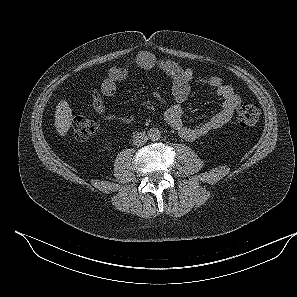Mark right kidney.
Listing matches in <instances>:
<instances>
[{
	"mask_svg": "<svg viewBox=\"0 0 297 297\" xmlns=\"http://www.w3.org/2000/svg\"><path fill=\"white\" fill-rule=\"evenodd\" d=\"M111 145H112V143L108 142V144L105 145L104 149H105V150H109V149H111V148H110Z\"/></svg>",
	"mask_w": 297,
	"mask_h": 297,
	"instance_id": "ca27d5eb",
	"label": "right kidney"
}]
</instances>
